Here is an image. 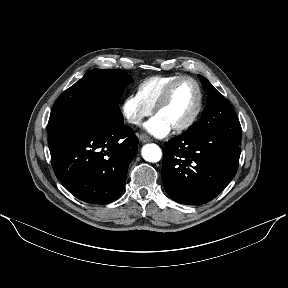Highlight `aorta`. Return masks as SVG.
Here are the masks:
<instances>
[{
    "label": "aorta",
    "instance_id": "1",
    "mask_svg": "<svg viewBox=\"0 0 288 288\" xmlns=\"http://www.w3.org/2000/svg\"><path fill=\"white\" fill-rule=\"evenodd\" d=\"M142 157L147 162L156 163L162 157V151L156 144H146L142 148Z\"/></svg>",
    "mask_w": 288,
    "mask_h": 288
}]
</instances>
